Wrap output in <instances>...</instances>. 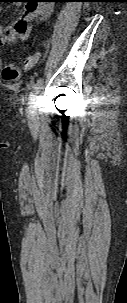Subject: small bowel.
Wrapping results in <instances>:
<instances>
[{"mask_svg": "<svg viewBox=\"0 0 127 303\" xmlns=\"http://www.w3.org/2000/svg\"><path fill=\"white\" fill-rule=\"evenodd\" d=\"M49 1L51 0L27 1L20 18L5 29L0 25V45L27 39L31 32V22L35 19L46 20L52 14L53 5L43 3Z\"/></svg>", "mask_w": 127, "mask_h": 303, "instance_id": "1", "label": "small bowel"}]
</instances>
